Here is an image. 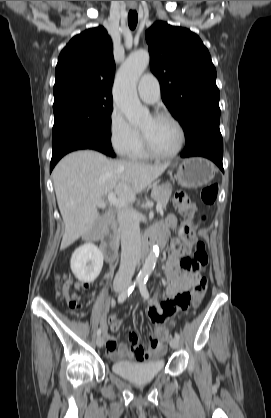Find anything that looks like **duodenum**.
Instances as JSON below:
<instances>
[{"instance_id":"410a0bca","label":"duodenum","mask_w":271,"mask_h":418,"mask_svg":"<svg viewBox=\"0 0 271 418\" xmlns=\"http://www.w3.org/2000/svg\"><path fill=\"white\" fill-rule=\"evenodd\" d=\"M101 239V248L109 263H113L117 255V225L115 214L109 212L103 231L100 236L91 233L87 236L88 240ZM166 241V232L160 229H154L143 239L141 246V256L144 257L156 244L163 245Z\"/></svg>"}]
</instances>
